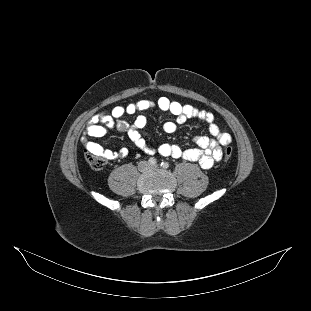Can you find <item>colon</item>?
Listing matches in <instances>:
<instances>
[{
    "label": "colon",
    "mask_w": 311,
    "mask_h": 311,
    "mask_svg": "<svg viewBox=\"0 0 311 311\" xmlns=\"http://www.w3.org/2000/svg\"><path fill=\"white\" fill-rule=\"evenodd\" d=\"M232 154H233L232 147L230 146L226 147L223 152L224 161H228L231 158ZM85 158L90 167L95 170L103 168L104 165L106 164V158L102 154L93 151L86 150Z\"/></svg>",
    "instance_id": "1"
}]
</instances>
